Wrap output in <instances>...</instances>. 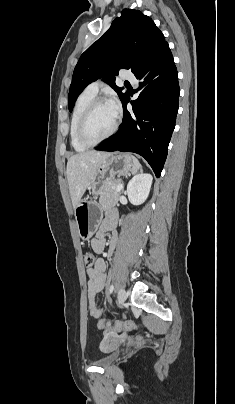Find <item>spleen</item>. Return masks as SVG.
Listing matches in <instances>:
<instances>
[{"label": "spleen", "instance_id": "spleen-1", "mask_svg": "<svg viewBox=\"0 0 235 404\" xmlns=\"http://www.w3.org/2000/svg\"><path fill=\"white\" fill-rule=\"evenodd\" d=\"M132 159H133V163H134V169H133L132 173L135 174V173H137L138 169L141 168V165L136 157L132 156Z\"/></svg>", "mask_w": 235, "mask_h": 404}]
</instances>
